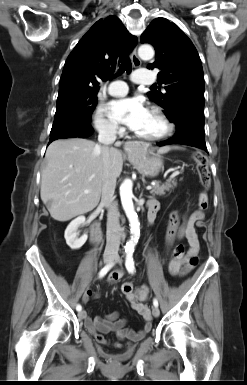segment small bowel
Listing matches in <instances>:
<instances>
[{"mask_svg":"<svg viewBox=\"0 0 247 385\" xmlns=\"http://www.w3.org/2000/svg\"><path fill=\"white\" fill-rule=\"evenodd\" d=\"M148 212L155 210L156 213L159 209V203L156 200H149L147 203ZM204 217L203 210L200 208L186 213L182 216L178 212H173L170 216V224L167 231V242L172 244L176 239L186 238L189 244V250L184 259L176 261L172 260L169 263V272L173 276H185L196 266L198 259L197 254L199 251V240L195 231V225H201ZM192 258H196L197 262L190 263ZM123 271L117 270L110 273L108 281L110 283H116L123 277ZM123 285H129L131 292L125 294L126 299L131 304V307L143 318L144 324L139 331H134L127 327V320L120 318L117 312H113L104 316H98L95 318L85 317V327L87 331L93 335L96 341L103 345L110 344L105 334L115 333L120 340H128L129 342L139 341L150 331L152 327V316L147 301L149 300V288L142 286L134 290L131 283H125ZM98 293L87 289L83 295V302L87 303L91 298L97 297ZM114 347H122L119 342L112 344Z\"/></svg>","mask_w":247,"mask_h":385,"instance_id":"obj_1","label":"small bowel"}]
</instances>
